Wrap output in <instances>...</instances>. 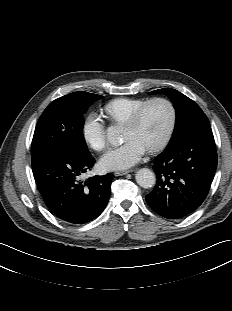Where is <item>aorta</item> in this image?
<instances>
[{"label":"aorta","mask_w":232,"mask_h":311,"mask_svg":"<svg viewBox=\"0 0 232 311\" xmlns=\"http://www.w3.org/2000/svg\"><path fill=\"white\" fill-rule=\"evenodd\" d=\"M107 139L112 144H118L120 142V137L116 127H109L107 129ZM136 182L142 188L148 189L155 185L156 177L155 174L148 168H141L136 173Z\"/></svg>","instance_id":"aorta-1"}]
</instances>
